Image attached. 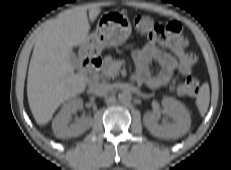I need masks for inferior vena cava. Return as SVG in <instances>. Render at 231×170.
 <instances>
[{
    "label": "inferior vena cava",
    "mask_w": 231,
    "mask_h": 170,
    "mask_svg": "<svg viewBox=\"0 0 231 170\" xmlns=\"http://www.w3.org/2000/svg\"><path fill=\"white\" fill-rule=\"evenodd\" d=\"M112 89V86L108 83H100L95 87V94L98 96H104L108 94Z\"/></svg>",
    "instance_id": "inferior-vena-cava-1"
}]
</instances>
